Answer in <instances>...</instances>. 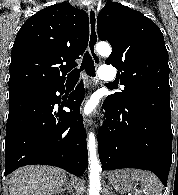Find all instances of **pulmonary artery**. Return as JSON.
<instances>
[{"label": "pulmonary artery", "mask_w": 178, "mask_h": 195, "mask_svg": "<svg viewBox=\"0 0 178 195\" xmlns=\"http://www.w3.org/2000/svg\"><path fill=\"white\" fill-rule=\"evenodd\" d=\"M98 75H99L100 79H102L106 82H110L114 79L112 68L110 66H107V65L100 66L99 71H98Z\"/></svg>", "instance_id": "pulmonary-artery-1"}]
</instances>
